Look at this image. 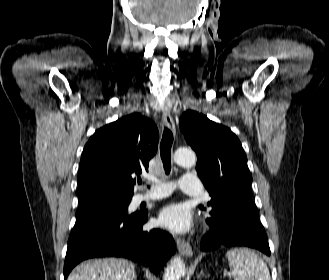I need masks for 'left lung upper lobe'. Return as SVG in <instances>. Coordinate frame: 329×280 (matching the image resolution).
<instances>
[{
	"instance_id": "obj_1",
	"label": "left lung upper lobe",
	"mask_w": 329,
	"mask_h": 280,
	"mask_svg": "<svg viewBox=\"0 0 329 280\" xmlns=\"http://www.w3.org/2000/svg\"><path fill=\"white\" fill-rule=\"evenodd\" d=\"M180 128L197 153L196 170L210 196L213 208L208 225L218 233L228 210L240 199L250 197L252 177L247 157L236 135L205 115L188 110L180 118Z\"/></svg>"
}]
</instances>
